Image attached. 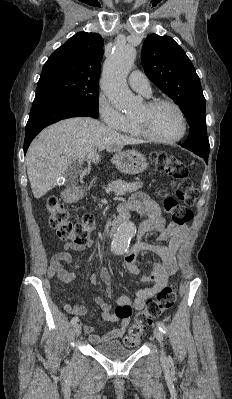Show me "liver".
<instances>
[{
	"instance_id": "obj_1",
	"label": "liver",
	"mask_w": 232,
	"mask_h": 399,
	"mask_svg": "<svg viewBox=\"0 0 232 399\" xmlns=\"http://www.w3.org/2000/svg\"><path fill=\"white\" fill-rule=\"evenodd\" d=\"M127 144H138V140L122 136L92 118H69L48 126L33 140L26 156L34 198L55 188L74 160L88 158L97 164L100 152H120Z\"/></svg>"
}]
</instances>
